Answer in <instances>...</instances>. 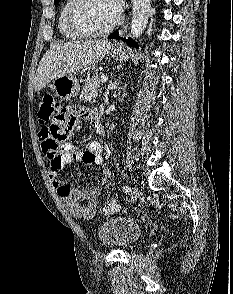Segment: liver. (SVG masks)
Instances as JSON below:
<instances>
[{
	"label": "liver",
	"instance_id": "6515ba94",
	"mask_svg": "<svg viewBox=\"0 0 233 294\" xmlns=\"http://www.w3.org/2000/svg\"><path fill=\"white\" fill-rule=\"evenodd\" d=\"M111 46L105 40L74 41L51 46L38 65L35 90H42L57 77L97 63L108 54Z\"/></svg>",
	"mask_w": 233,
	"mask_h": 294
}]
</instances>
